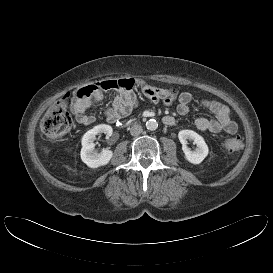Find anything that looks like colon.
Returning a JSON list of instances; mask_svg holds the SVG:
<instances>
[{
    "label": "colon",
    "instance_id": "1",
    "mask_svg": "<svg viewBox=\"0 0 273 273\" xmlns=\"http://www.w3.org/2000/svg\"><path fill=\"white\" fill-rule=\"evenodd\" d=\"M134 86L135 81L130 78L95 82L79 87L74 92V99H88L102 90H131ZM169 93L171 96H174L176 91L175 89H171L169 90ZM69 98L70 94L64 95L61 99L53 103L46 111L41 122V129L48 138H60L71 129L73 121L68 110ZM222 145L229 152H237L243 148V141L238 136L229 137L223 141Z\"/></svg>",
    "mask_w": 273,
    "mask_h": 273
}]
</instances>
